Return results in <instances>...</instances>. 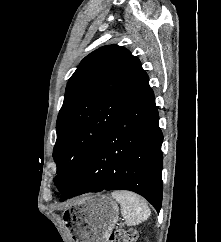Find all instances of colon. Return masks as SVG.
I'll return each mask as SVG.
<instances>
[{"label":"colon","mask_w":221,"mask_h":242,"mask_svg":"<svg viewBox=\"0 0 221 242\" xmlns=\"http://www.w3.org/2000/svg\"><path fill=\"white\" fill-rule=\"evenodd\" d=\"M137 234L133 230L116 229L108 239V242H136Z\"/></svg>","instance_id":"5ec220e1"}]
</instances>
